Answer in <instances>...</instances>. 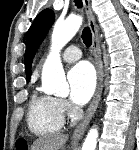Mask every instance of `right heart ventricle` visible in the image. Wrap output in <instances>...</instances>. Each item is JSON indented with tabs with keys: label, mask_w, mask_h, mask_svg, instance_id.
<instances>
[{
	"label": "right heart ventricle",
	"mask_w": 139,
	"mask_h": 150,
	"mask_svg": "<svg viewBox=\"0 0 139 150\" xmlns=\"http://www.w3.org/2000/svg\"><path fill=\"white\" fill-rule=\"evenodd\" d=\"M27 123L31 132L37 135L59 131L64 123V112L59 100L34 90L28 105Z\"/></svg>",
	"instance_id": "right-heart-ventricle-1"
}]
</instances>
